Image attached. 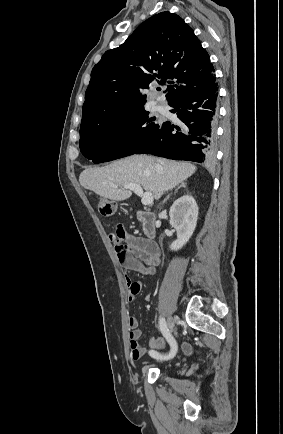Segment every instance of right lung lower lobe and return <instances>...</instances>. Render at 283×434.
<instances>
[{"label":"right lung lower lobe","instance_id":"1","mask_svg":"<svg viewBox=\"0 0 283 434\" xmlns=\"http://www.w3.org/2000/svg\"><path fill=\"white\" fill-rule=\"evenodd\" d=\"M217 96L215 80L208 87L169 104L173 107L171 112L181 121L180 127L163 123L135 153L200 163L211 161L216 138Z\"/></svg>","mask_w":283,"mask_h":434}]
</instances>
